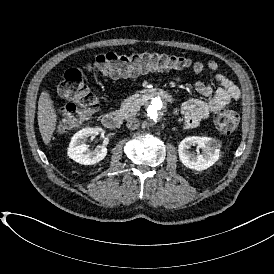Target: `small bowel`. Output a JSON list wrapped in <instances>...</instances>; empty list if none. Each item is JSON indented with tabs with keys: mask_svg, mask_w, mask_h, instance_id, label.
<instances>
[{
	"mask_svg": "<svg viewBox=\"0 0 274 274\" xmlns=\"http://www.w3.org/2000/svg\"><path fill=\"white\" fill-rule=\"evenodd\" d=\"M219 69V64L216 61H209L205 65L201 61H195L192 65V70L196 75L203 74L206 70L210 73H216ZM124 75V76H130ZM215 80L218 84L217 88L211 87L203 81L195 83V90L203 96L213 97L208 101L200 99H189L184 102L181 107V115L186 128L197 127L201 122L206 120L212 113H215L233 101L240 99L241 92L239 87L226 75L216 74Z\"/></svg>",
	"mask_w": 274,
	"mask_h": 274,
	"instance_id": "c3829d8e",
	"label": "small bowel"
}]
</instances>
